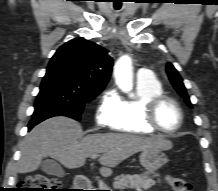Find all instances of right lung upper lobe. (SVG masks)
I'll return each mask as SVG.
<instances>
[{
	"mask_svg": "<svg viewBox=\"0 0 218 191\" xmlns=\"http://www.w3.org/2000/svg\"><path fill=\"white\" fill-rule=\"evenodd\" d=\"M113 60L108 51L83 38L62 45L51 58L48 69H57L84 85L103 89L109 81Z\"/></svg>",
	"mask_w": 218,
	"mask_h": 191,
	"instance_id": "obj_1",
	"label": "right lung upper lobe"
}]
</instances>
